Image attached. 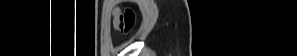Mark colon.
<instances>
[{"instance_id": "colon-1", "label": "colon", "mask_w": 297, "mask_h": 56, "mask_svg": "<svg viewBox=\"0 0 297 56\" xmlns=\"http://www.w3.org/2000/svg\"><path fill=\"white\" fill-rule=\"evenodd\" d=\"M135 21V14L131 9H125L123 12H120L115 21V28L121 32H129Z\"/></svg>"}]
</instances>
